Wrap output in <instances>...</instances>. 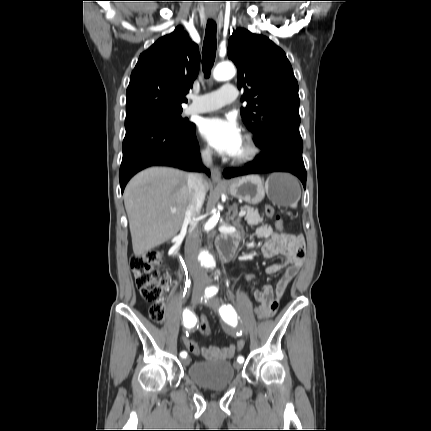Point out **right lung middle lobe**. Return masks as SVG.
<instances>
[{
	"instance_id": "1",
	"label": "right lung middle lobe",
	"mask_w": 431,
	"mask_h": 431,
	"mask_svg": "<svg viewBox=\"0 0 431 431\" xmlns=\"http://www.w3.org/2000/svg\"><path fill=\"white\" fill-rule=\"evenodd\" d=\"M181 111L159 112L143 117L125 120L126 131L143 127L146 125L162 124L178 129H189L193 123L181 117Z\"/></svg>"
}]
</instances>
